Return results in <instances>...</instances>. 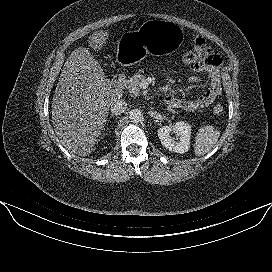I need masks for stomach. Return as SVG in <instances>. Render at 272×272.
Returning <instances> with one entry per match:
<instances>
[{"instance_id":"0dacf381","label":"stomach","mask_w":272,"mask_h":272,"mask_svg":"<svg viewBox=\"0 0 272 272\" xmlns=\"http://www.w3.org/2000/svg\"><path fill=\"white\" fill-rule=\"evenodd\" d=\"M184 42L183 29L172 21L148 20L138 30L124 33L117 43L116 60L130 66L146 54H162L177 50Z\"/></svg>"}]
</instances>
